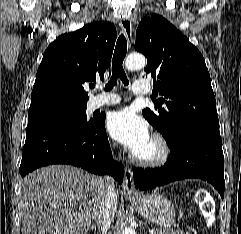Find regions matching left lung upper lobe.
I'll return each instance as SVG.
<instances>
[{"label":"left lung upper lobe","instance_id":"1","mask_svg":"<svg viewBox=\"0 0 241 234\" xmlns=\"http://www.w3.org/2000/svg\"><path fill=\"white\" fill-rule=\"evenodd\" d=\"M137 51L147 57L144 73L152 77L157 108L142 114L171 147L190 129L219 132L216 100L203 56L179 30L161 15L139 23ZM163 104V105H162Z\"/></svg>","mask_w":241,"mask_h":234}]
</instances>
